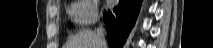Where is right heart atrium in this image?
Wrapping results in <instances>:
<instances>
[{"mask_svg":"<svg viewBox=\"0 0 213 48\" xmlns=\"http://www.w3.org/2000/svg\"><path fill=\"white\" fill-rule=\"evenodd\" d=\"M68 13L75 24L87 27L97 21L98 3L95 0H79L71 3Z\"/></svg>","mask_w":213,"mask_h":48,"instance_id":"obj_1","label":"right heart atrium"}]
</instances>
